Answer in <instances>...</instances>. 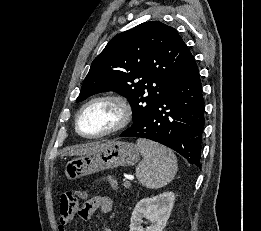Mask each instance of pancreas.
Wrapping results in <instances>:
<instances>
[{"label":"pancreas","mask_w":261,"mask_h":231,"mask_svg":"<svg viewBox=\"0 0 261 231\" xmlns=\"http://www.w3.org/2000/svg\"><path fill=\"white\" fill-rule=\"evenodd\" d=\"M130 185L124 183V187L128 188Z\"/></svg>","instance_id":"obj_1"}]
</instances>
